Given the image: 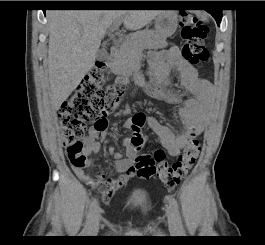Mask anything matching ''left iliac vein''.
Instances as JSON below:
<instances>
[{"instance_id": "obj_1", "label": "left iliac vein", "mask_w": 265, "mask_h": 245, "mask_svg": "<svg viewBox=\"0 0 265 245\" xmlns=\"http://www.w3.org/2000/svg\"><path fill=\"white\" fill-rule=\"evenodd\" d=\"M167 220H168V226H169V231L172 234H176L177 232V223H176V219L175 216L173 214V212L171 211L170 208H167Z\"/></svg>"}]
</instances>
